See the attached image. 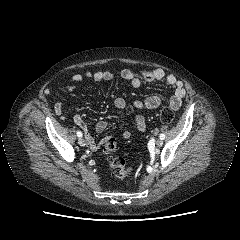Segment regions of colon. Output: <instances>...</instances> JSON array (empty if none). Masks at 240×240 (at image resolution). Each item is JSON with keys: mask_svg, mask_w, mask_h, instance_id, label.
<instances>
[{"mask_svg": "<svg viewBox=\"0 0 240 240\" xmlns=\"http://www.w3.org/2000/svg\"><path fill=\"white\" fill-rule=\"evenodd\" d=\"M160 118L164 123H170L175 118V112L171 108H164L161 110ZM117 148V141L114 137H107L103 142V154L108 161L111 172L118 178H125L130 175L133 168L127 165L126 161L121 157H116L115 151Z\"/></svg>", "mask_w": 240, "mask_h": 240, "instance_id": "1", "label": "colon"}]
</instances>
